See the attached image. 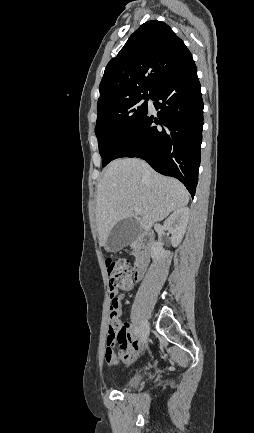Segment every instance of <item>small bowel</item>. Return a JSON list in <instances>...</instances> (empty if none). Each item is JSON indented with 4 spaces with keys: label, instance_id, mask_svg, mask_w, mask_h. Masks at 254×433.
<instances>
[{
    "label": "small bowel",
    "instance_id": "c3829d8e",
    "mask_svg": "<svg viewBox=\"0 0 254 433\" xmlns=\"http://www.w3.org/2000/svg\"><path fill=\"white\" fill-rule=\"evenodd\" d=\"M114 295L118 299V302L123 297L122 294L118 295V290L114 291ZM119 313L121 312L120 303L118 306ZM120 323V322H119ZM121 331L118 338V344L120 350L118 353L114 351L105 354V360L110 366H117L119 364L131 365L136 361V352L138 350V342L136 337L131 332L129 323H120Z\"/></svg>",
    "mask_w": 254,
    "mask_h": 433
}]
</instances>
